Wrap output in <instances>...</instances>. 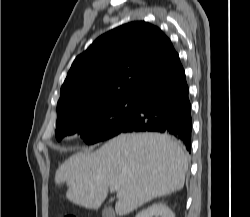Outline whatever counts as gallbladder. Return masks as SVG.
I'll return each instance as SVG.
<instances>
[{"mask_svg":"<svg viewBox=\"0 0 250 217\" xmlns=\"http://www.w3.org/2000/svg\"><path fill=\"white\" fill-rule=\"evenodd\" d=\"M102 217H114V211L110 207H106L102 210Z\"/></svg>","mask_w":250,"mask_h":217,"instance_id":"obj_1","label":"gallbladder"}]
</instances>
